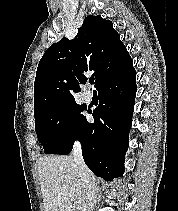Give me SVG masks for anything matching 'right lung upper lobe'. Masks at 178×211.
<instances>
[{
	"instance_id": "1",
	"label": "right lung upper lobe",
	"mask_w": 178,
	"mask_h": 211,
	"mask_svg": "<svg viewBox=\"0 0 178 211\" xmlns=\"http://www.w3.org/2000/svg\"><path fill=\"white\" fill-rule=\"evenodd\" d=\"M132 59L111 21L89 15L73 40L62 38L41 58L34 82V114L60 102L72 101L79 84L92 71L97 89L126 73Z\"/></svg>"
}]
</instances>
